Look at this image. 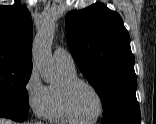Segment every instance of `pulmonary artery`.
<instances>
[{
    "instance_id": "obj_1",
    "label": "pulmonary artery",
    "mask_w": 156,
    "mask_h": 124,
    "mask_svg": "<svg viewBox=\"0 0 156 124\" xmlns=\"http://www.w3.org/2000/svg\"><path fill=\"white\" fill-rule=\"evenodd\" d=\"M53 59L58 66L74 70L75 62L72 55L63 48H56L53 53Z\"/></svg>"
}]
</instances>
